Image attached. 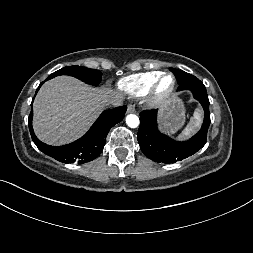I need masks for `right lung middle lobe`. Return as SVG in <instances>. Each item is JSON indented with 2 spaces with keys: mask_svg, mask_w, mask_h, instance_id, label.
<instances>
[{
  "mask_svg": "<svg viewBox=\"0 0 253 253\" xmlns=\"http://www.w3.org/2000/svg\"><path fill=\"white\" fill-rule=\"evenodd\" d=\"M58 75H70L74 76L83 82L98 85L102 78V73L96 69H89L81 66H69L64 67L54 73H52L49 77L53 78Z\"/></svg>",
  "mask_w": 253,
  "mask_h": 253,
  "instance_id": "right-lung-middle-lobe-1",
  "label": "right lung middle lobe"
}]
</instances>
